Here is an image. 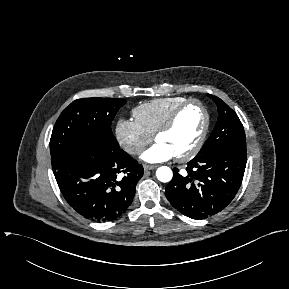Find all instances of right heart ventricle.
Wrapping results in <instances>:
<instances>
[{
  "mask_svg": "<svg viewBox=\"0 0 289 289\" xmlns=\"http://www.w3.org/2000/svg\"><path fill=\"white\" fill-rule=\"evenodd\" d=\"M186 100L180 96L153 99L136 106L132 114L139 126L153 136L172 111Z\"/></svg>",
  "mask_w": 289,
  "mask_h": 289,
  "instance_id": "e07e8e85",
  "label": "right heart ventricle"
}]
</instances>
